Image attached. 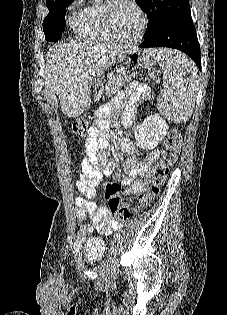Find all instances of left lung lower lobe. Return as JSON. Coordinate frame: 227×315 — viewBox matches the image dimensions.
<instances>
[{"label": "left lung lower lobe", "instance_id": "0a47b994", "mask_svg": "<svg viewBox=\"0 0 227 315\" xmlns=\"http://www.w3.org/2000/svg\"><path fill=\"white\" fill-rule=\"evenodd\" d=\"M141 48L170 47L185 52L201 70L200 46L191 15L165 23L145 38Z\"/></svg>", "mask_w": 227, "mask_h": 315}]
</instances>
